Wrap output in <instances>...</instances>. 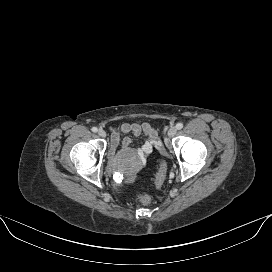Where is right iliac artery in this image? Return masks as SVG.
I'll list each match as a JSON object with an SVG mask.
<instances>
[{
  "label": "right iliac artery",
  "mask_w": 272,
  "mask_h": 272,
  "mask_svg": "<svg viewBox=\"0 0 272 272\" xmlns=\"http://www.w3.org/2000/svg\"><path fill=\"white\" fill-rule=\"evenodd\" d=\"M91 130H92V132H97L98 131V129L96 127H93Z\"/></svg>",
  "instance_id": "82829eb1"
}]
</instances>
